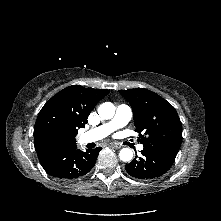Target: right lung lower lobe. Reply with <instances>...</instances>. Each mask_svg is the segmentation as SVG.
Instances as JSON below:
<instances>
[{"label": "right lung lower lobe", "mask_w": 221, "mask_h": 221, "mask_svg": "<svg viewBox=\"0 0 221 221\" xmlns=\"http://www.w3.org/2000/svg\"><path fill=\"white\" fill-rule=\"evenodd\" d=\"M101 148H77L76 142L64 146L36 148L40 163L51 176L63 180H73L87 174L95 165Z\"/></svg>", "instance_id": "right-lung-lower-lobe-1"}]
</instances>
